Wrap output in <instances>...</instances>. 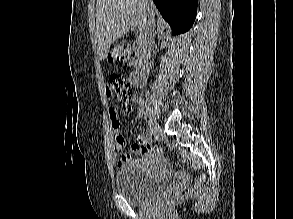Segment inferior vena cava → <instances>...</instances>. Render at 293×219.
<instances>
[{
	"mask_svg": "<svg viewBox=\"0 0 293 219\" xmlns=\"http://www.w3.org/2000/svg\"><path fill=\"white\" fill-rule=\"evenodd\" d=\"M146 2V1H145ZM154 17L152 15H148V18L146 20V28L144 31V34L141 37V46H142V61L146 67V71L148 72L149 66H150V59H149V53L151 51L152 42H153V36L152 32L154 30ZM141 74L145 75V69H141Z\"/></svg>",
	"mask_w": 293,
	"mask_h": 219,
	"instance_id": "602c4592",
	"label": "inferior vena cava"
}]
</instances>
